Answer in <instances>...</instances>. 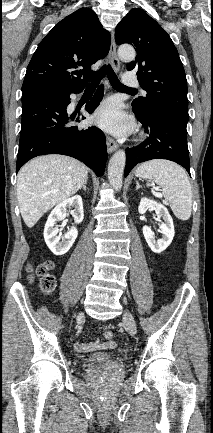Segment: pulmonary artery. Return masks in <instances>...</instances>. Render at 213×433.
<instances>
[{"instance_id":"obj_1","label":"pulmonary artery","mask_w":213,"mask_h":433,"mask_svg":"<svg viewBox=\"0 0 213 433\" xmlns=\"http://www.w3.org/2000/svg\"><path fill=\"white\" fill-rule=\"evenodd\" d=\"M123 84L127 87H136L138 86V80L133 73L127 72L123 76Z\"/></svg>"}]
</instances>
